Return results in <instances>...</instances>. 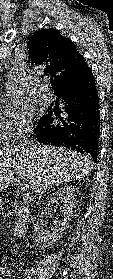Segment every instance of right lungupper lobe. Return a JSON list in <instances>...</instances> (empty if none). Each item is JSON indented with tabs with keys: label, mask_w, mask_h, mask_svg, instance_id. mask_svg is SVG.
<instances>
[{
	"label": "right lung upper lobe",
	"mask_w": 113,
	"mask_h": 279,
	"mask_svg": "<svg viewBox=\"0 0 113 279\" xmlns=\"http://www.w3.org/2000/svg\"><path fill=\"white\" fill-rule=\"evenodd\" d=\"M29 57L32 62L46 67L45 75L53 79L58 95L75 85L90 70L76 45L56 29H43L29 38Z\"/></svg>",
	"instance_id": "right-lung-upper-lobe-1"
}]
</instances>
